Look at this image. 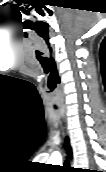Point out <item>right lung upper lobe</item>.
<instances>
[{
  "instance_id": "1",
  "label": "right lung upper lobe",
  "mask_w": 106,
  "mask_h": 172,
  "mask_svg": "<svg viewBox=\"0 0 106 172\" xmlns=\"http://www.w3.org/2000/svg\"><path fill=\"white\" fill-rule=\"evenodd\" d=\"M66 143H67V147H68L69 157L72 158V150H71V147H70V145H69L68 137L66 138Z\"/></svg>"
}]
</instances>
